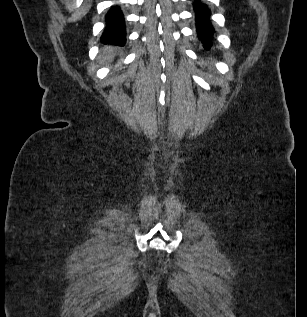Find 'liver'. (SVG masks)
<instances>
[{
  "label": "liver",
  "mask_w": 307,
  "mask_h": 317,
  "mask_svg": "<svg viewBox=\"0 0 307 317\" xmlns=\"http://www.w3.org/2000/svg\"><path fill=\"white\" fill-rule=\"evenodd\" d=\"M116 51L115 48L112 46H105L103 48V52L102 55L99 59V61L103 64V65H109L114 57H115Z\"/></svg>",
  "instance_id": "1"
}]
</instances>
